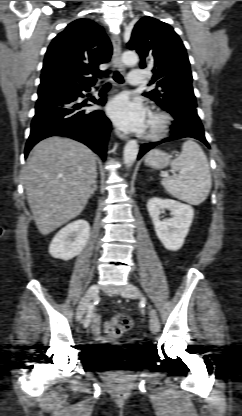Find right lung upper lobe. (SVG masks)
Returning <instances> with one entry per match:
<instances>
[{"label":"right lung upper lobe","mask_w":242,"mask_h":416,"mask_svg":"<svg viewBox=\"0 0 242 416\" xmlns=\"http://www.w3.org/2000/svg\"><path fill=\"white\" fill-rule=\"evenodd\" d=\"M111 55V43L101 26L88 19L70 23L48 47L38 95L93 85L102 74L98 66Z\"/></svg>","instance_id":"cb5924a9"}]
</instances>
